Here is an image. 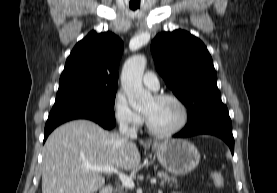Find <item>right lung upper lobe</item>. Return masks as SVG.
Here are the masks:
<instances>
[{
  "instance_id": "right-lung-upper-lobe-1",
  "label": "right lung upper lobe",
  "mask_w": 277,
  "mask_h": 193,
  "mask_svg": "<svg viewBox=\"0 0 277 193\" xmlns=\"http://www.w3.org/2000/svg\"><path fill=\"white\" fill-rule=\"evenodd\" d=\"M123 42L111 32H90L66 60L58 91L83 86L117 88Z\"/></svg>"
}]
</instances>
